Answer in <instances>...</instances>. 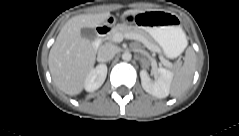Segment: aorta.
I'll use <instances>...</instances> for the list:
<instances>
[{"instance_id": "1", "label": "aorta", "mask_w": 239, "mask_h": 136, "mask_svg": "<svg viewBox=\"0 0 239 136\" xmlns=\"http://www.w3.org/2000/svg\"><path fill=\"white\" fill-rule=\"evenodd\" d=\"M132 58V55L129 51H125L123 54H122V59L124 61H130Z\"/></svg>"}]
</instances>
